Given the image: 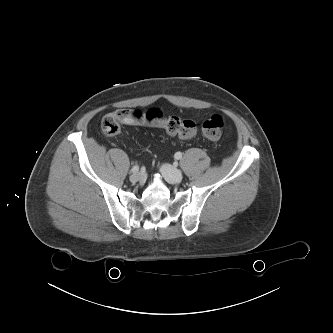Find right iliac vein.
Here are the masks:
<instances>
[{"mask_svg": "<svg viewBox=\"0 0 333 333\" xmlns=\"http://www.w3.org/2000/svg\"><path fill=\"white\" fill-rule=\"evenodd\" d=\"M142 178V175L141 173H133L131 176H130V181L133 182V183H136L138 182L140 179Z\"/></svg>", "mask_w": 333, "mask_h": 333, "instance_id": "obj_1", "label": "right iliac vein"}]
</instances>
